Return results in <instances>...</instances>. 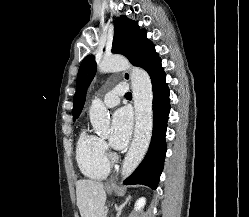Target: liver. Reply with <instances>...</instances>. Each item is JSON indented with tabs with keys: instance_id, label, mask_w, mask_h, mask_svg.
<instances>
[{
	"instance_id": "liver-1",
	"label": "liver",
	"mask_w": 249,
	"mask_h": 217,
	"mask_svg": "<svg viewBox=\"0 0 249 217\" xmlns=\"http://www.w3.org/2000/svg\"><path fill=\"white\" fill-rule=\"evenodd\" d=\"M76 196L81 217H103L106 192L102 182L88 179L77 181Z\"/></svg>"
}]
</instances>
